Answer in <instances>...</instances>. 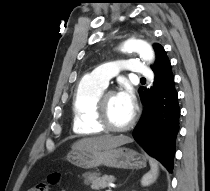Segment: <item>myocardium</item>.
<instances>
[{"instance_id":"f54148a6","label":"myocardium","mask_w":210,"mask_h":191,"mask_svg":"<svg viewBox=\"0 0 210 191\" xmlns=\"http://www.w3.org/2000/svg\"><path fill=\"white\" fill-rule=\"evenodd\" d=\"M111 94H115L114 91H103L97 98L95 105V120L97 124L108 132H125L133 127L136 121V111L133 110L131 119L129 122L121 127L113 126L108 118L107 112V97Z\"/></svg>"}]
</instances>
